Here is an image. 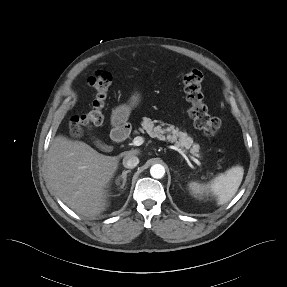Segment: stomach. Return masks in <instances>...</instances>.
I'll return each mask as SVG.
<instances>
[{
  "instance_id": "1",
  "label": "stomach",
  "mask_w": 287,
  "mask_h": 287,
  "mask_svg": "<svg viewBox=\"0 0 287 287\" xmlns=\"http://www.w3.org/2000/svg\"><path fill=\"white\" fill-rule=\"evenodd\" d=\"M140 102V94L135 93L130 98L127 104H123L115 108L111 115V125L113 126V132L120 131L128 125L127 121L131 110Z\"/></svg>"
}]
</instances>
